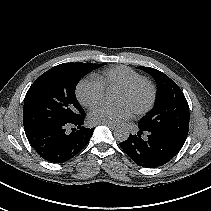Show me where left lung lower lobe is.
Here are the masks:
<instances>
[{
  "label": "left lung lower lobe",
  "mask_w": 211,
  "mask_h": 211,
  "mask_svg": "<svg viewBox=\"0 0 211 211\" xmlns=\"http://www.w3.org/2000/svg\"><path fill=\"white\" fill-rule=\"evenodd\" d=\"M140 131L121 142L124 152L139 166L146 168L159 167L171 160L184 144L179 143L167 134L155 130H146L138 126ZM147 133L146 139L141 137Z\"/></svg>",
  "instance_id": "0a47b994"
}]
</instances>
